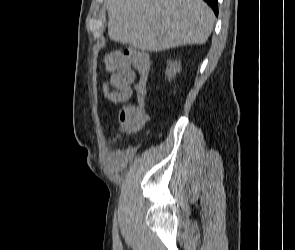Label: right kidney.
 Returning <instances> with one entry per match:
<instances>
[{
    "label": "right kidney",
    "mask_w": 295,
    "mask_h": 250,
    "mask_svg": "<svg viewBox=\"0 0 295 250\" xmlns=\"http://www.w3.org/2000/svg\"><path fill=\"white\" fill-rule=\"evenodd\" d=\"M180 70H181V62L169 61L167 63V69H166V76L168 80L170 81L172 78H174L176 73L180 72Z\"/></svg>",
    "instance_id": "ca27d5eb"
}]
</instances>
